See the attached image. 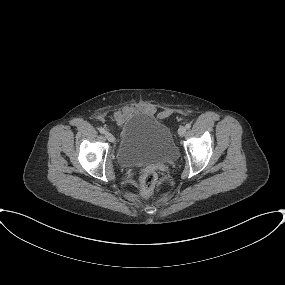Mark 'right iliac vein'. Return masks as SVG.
Masks as SVG:
<instances>
[{
    "label": "right iliac vein",
    "instance_id": "1",
    "mask_svg": "<svg viewBox=\"0 0 285 285\" xmlns=\"http://www.w3.org/2000/svg\"><path fill=\"white\" fill-rule=\"evenodd\" d=\"M105 137H106L107 140L110 141V142H114V140H115L114 136H113L111 133H109V132H106V133H105Z\"/></svg>",
    "mask_w": 285,
    "mask_h": 285
}]
</instances>
